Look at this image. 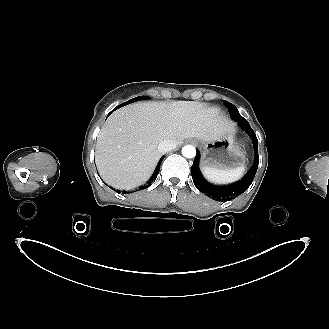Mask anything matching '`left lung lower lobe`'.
<instances>
[{"label": "left lung lower lobe", "instance_id": "obj_1", "mask_svg": "<svg viewBox=\"0 0 329 329\" xmlns=\"http://www.w3.org/2000/svg\"><path fill=\"white\" fill-rule=\"evenodd\" d=\"M239 124L241 128L248 134L255 154L254 163L251 169L241 180L233 184L224 185V186H219L209 183L203 177V175L199 170L198 163L200 156L198 151L193 161V165L191 167L192 179L197 189L202 193H204L205 195H207L208 197L215 199L217 201H226L229 199H233L244 193L252 183L258 168L259 156H258V140L256 134L254 133L253 129L250 127L246 119L239 122Z\"/></svg>", "mask_w": 329, "mask_h": 329}]
</instances>
